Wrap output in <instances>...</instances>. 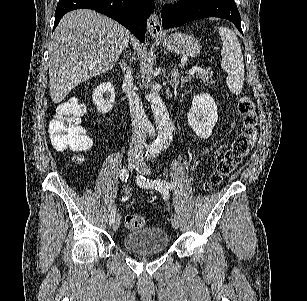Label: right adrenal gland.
Listing matches in <instances>:
<instances>
[{
  "label": "right adrenal gland",
  "mask_w": 307,
  "mask_h": 301,
  "mask_svg": "<svg viewBox=\"0 0 307 301\" xmlns=\"http://www.w3.org/2000/svg\"><path fill=\"white\" fill-rule=\"evenodd\" d=\"M126 52H128V50H126ZM128 54H129V52H128ZM125 56H126V54H125ZM128 58H129V62L131 64L132 56H128ZM119 64L121 66L122 72H126L127 64H126L125 60H120Z\"/></svg>",
  "instance_id": "1"
}]
</instances>
